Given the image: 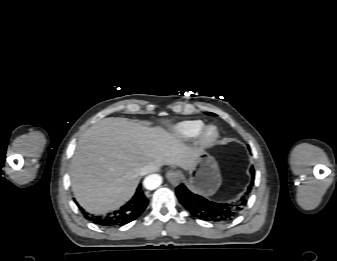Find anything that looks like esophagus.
Masks as SVG:
<instances>
[{"label": "esophagus", "mask_w": 337, "mask_h": 261, "mask_svg": "<svg viewBox=\"0 0 337 261\" xmlns=\"http://www.w3.org/2000/svg\"><path fill=\"white\" fill-rule=\"evenodd\" d=\"M166 178L172 185L177 186L181 181V173L176 170H169L166 173Z\"/></svg>", "instance_id": "1"}]
</instances>
